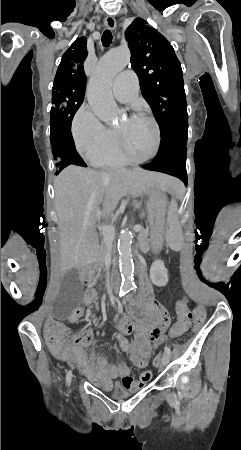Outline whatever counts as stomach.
Here are the masks:
<instances>
[{
  "mask_svg": "<svg viewBox=\"0 0 241 450\" xmlns=\"http://www.w3.org/2000/svg\"><path fill=\"white\" fill-rule=\"evenodd\" d=\"M147 214L150 228V245L154 253L164 244L166 198L159 189L148 191Z\"/></svg>",
  "mask_w": 241,
  "mask_h": 450,
  "instance_id": "1",
  "label": "stomach"
}]
</instances>
